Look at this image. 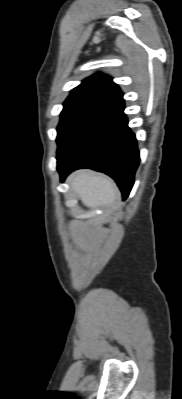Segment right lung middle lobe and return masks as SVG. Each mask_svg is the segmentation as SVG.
Here are the masks:
<instances>
[{"mask_svg":"<svg viewBox=\"0 0 182 399\" xmlns=\"http://www.w3.org/2000/svg\"><path fill=\"white\" fill-rule=\"evenodd\" d=\"M107 104L88 97H68L61 112V121L57 128V143L85 118L102 109Z\"/></svg>","mask_w":182,"mask_h":399,"instance_id":"obj_1","label":"right lung middle lobe"}]
</instances>
